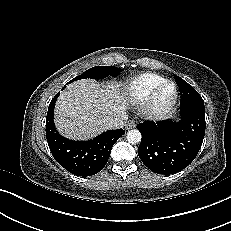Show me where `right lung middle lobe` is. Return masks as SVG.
Returning a JSON list of instances; mask_svg holds the SVG:
<instances>
[{
	"label": "right lung middle lobe",
	"instance_id": "1",
	"mask_svg": "<svg viewBox=\"0 0 231 231\" xmlns=\"http://www.w3.org/2000/svg\"><path fill=\"white\" fill-rule=\"evenodd\" d=\"M122 70L115 67V66H96L88 69L83 74L79 75L78 77L74 78L70 82L79 79H104L108 76L116 77Z\"/></svg>",
	"mask_w": 231,
	"mask_h": 231
}]
</instances>
